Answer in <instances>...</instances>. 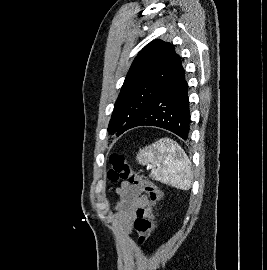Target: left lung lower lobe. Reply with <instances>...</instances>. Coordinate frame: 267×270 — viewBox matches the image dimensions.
Returning <instances> with one entry per match:
<instances>
[{"instance_id": "1", "label": "left lung lower lobe", "mask_w": 267, "mask_h": 270, "mask_svg": "<svg viewBox=\"0 0 267 270\" xmlns=\"http://www.w3.org/2000/svg\"><path fill=\"white\" fill-rule=\"evenodd\" d=\"M190 123L188 86L179 59L168 82L130 128L156 126L187 141L190 137Z\"/></svg>"}]
</instances>
